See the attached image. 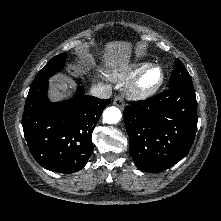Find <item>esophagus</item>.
<instances>
[{
  "instance_id": "1",
  "label": "esophagus",
  "mask_w": 221,
  "mask_h": 221,
  "mask_svg": "<svg viewBox=\"0 0 221 221\" xmlns=\"http://www.w3.org/2000/svg\"><path fill=\"white\" fill-rule=\"evenodd\" d=\"M113 104L117 107H119L120 109H124V100H123V97L122 96H116L113 100Z\"/></svg>"
}]
</instances>
